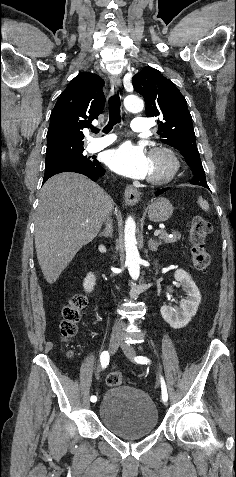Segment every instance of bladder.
Listing matches in <instances>:
<instances>
[{
  "label": "bladder",
  "instance_id": "obj_1",
  "mask_svg": "<svg viewBox=\"0 0 236 477\" xmlns=\"http://www.w3.org/2000/svg\"><path fill=\"white\" fill-rule=\"evenodd\" d=\"M97 410L105 428L127 440L150 435L159 423L158 410L149 395L130 385L108 388Z\"/></svg>",
  "mask_w": 236,
  "mask_h": 477
}]
</instances>
